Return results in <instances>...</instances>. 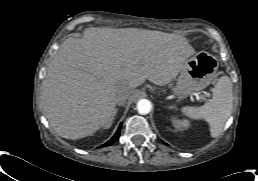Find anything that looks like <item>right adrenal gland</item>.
I'll return each instance as SVG.
<instances>
[{
  "instance_id": "obj_1",
  "label": "right adrenal gland",
  "mask_w": 258,
  "mask_h": 181,
  "mask_svg": "<svg viewBox=\"0 0 258 181\" xmlns=\"http://www.w3.org/2000/svg\"><path fill=\"white\" fill-rule=\"evenodd\" d=\"M117 111H118V109H115L113 118L108 122V124H106V125L104 126V129H108V128L111 127V125L113 124V121H114V119H115V116H116V114H117Z\"/></svg>"
}]
</instances>
